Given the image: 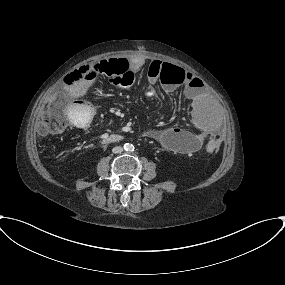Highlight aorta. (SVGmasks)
<instances>
[{"label":"aorta","mask_w":285,"mask_h":285,"mask_svg":"<svg viewBox=\"0 0 285 285\" xmlns=\"http://www.w3.org/2000/svg\"><path fill=\"white\" fill-rule=\"evenodd\" d=\"M124 149H125L126 151H133V150H134V145H133V144H130V143H126V144L124 145Z\"/></svg>","instance_id":"obj_1"}]
</instances>
